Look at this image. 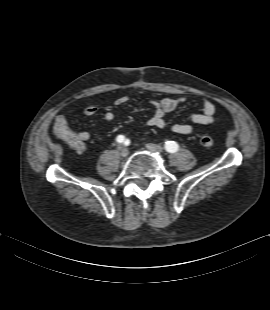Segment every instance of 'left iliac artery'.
Wrapping results in <instances>:
<instances>
[{
  "label": "left iliac artery",
  "instance_id": "44dca946",
  "mask_svg": "<svg viewBox=\"0 0 270 310\" xmlns=\"http://www.w3.org/2000/svg\"><path fill=\"white\" fill-rule=\"evenodd\" d=\"M167 152L174 153L179 149V145L174 141H167L164 145Z\"/></svg>",
  "mask_w": 270,
  "mask_h": 310
}]
</instances>
